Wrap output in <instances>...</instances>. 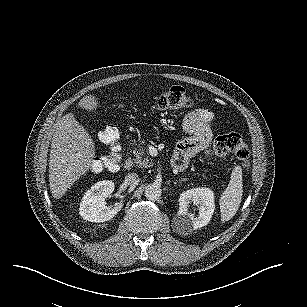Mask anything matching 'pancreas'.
<instances>
[{
  "label": "pancreas",
  "mask_w": 307,
  "mask_h": 307,
  "mask_svg": "<svg viewBox=\"0 0 307 307\" xmlns=\"http://www.w3.org/2000/svg\"><path fill=\"white\" fill-rule=\"evenodd\" d=\"M133 159L134 165L138 169H149L152 167V162L150 161L149 153L147 148L140 147L137 152L134 154Z\"/></svg>",
  "instance_id": "cf45deb5"
}]
</instances>
